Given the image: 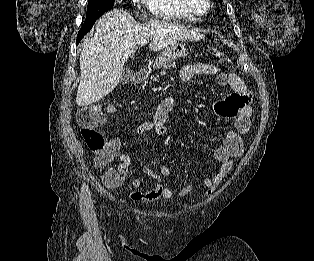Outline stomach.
Returning <instances> with one entry per match:
<instances>
[{"instance_id":"0dacf381","label":"stomach","mask_w":314,"mask_h":261,"mask_svg":"<svg viewBox=\"0 0 314 261\" xmlns=\"http://www.w3.org/2000/svg\"><path fill=\"white\" fill-rule=\"evenodd\" d=\"M188 53L187 47L183 43L176 42L164 49L159 55L156 65L157 67L162 66L164 63L177 58L185 57Z\"/></svg>"}]
</instances>
